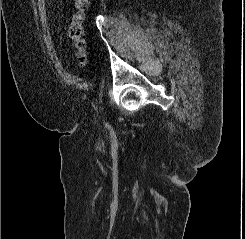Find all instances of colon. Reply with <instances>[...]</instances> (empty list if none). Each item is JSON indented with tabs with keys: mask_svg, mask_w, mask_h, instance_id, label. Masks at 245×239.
<instances>
[{
	"mask_svg": "<svg viewBox=\"0 0 245 239\" xmlns=\"http://www.w3.org/2000/svg\"><path fill=\"white\" fill-rule=\"evenodd\" d=\"M75 11L71 17V23L68 26L67 34L72 41L74 55L80 65L87 63V43L84 32V22L86 11L89 8L90 0H74Z\"/></svg>",
	"mask_w": 245,
	"mask_h": 239,
	"instance_id": "1",
	"label": "colon"
}]
</instances>
